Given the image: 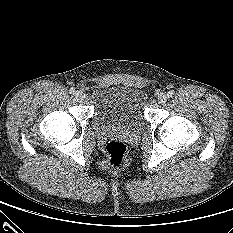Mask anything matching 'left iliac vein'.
Listing matches in <instances>:
<instances>
[{
  "label": "left iliac vein",
  "instance_id": "left-iliac-vein-1",
  "mask_svg": "<svg viewBox=\"0 0 233 233\" xmlns=\"http://www.w3.org/2000/svg\"><path fill=\"white\" fill-rule=\"evenodd\" d=\"M159 104H164L167 101V96L164 93H160L157 97Z\"/></svg>",
  "mask_w": 233,
  "mask_h": 233
}]
</instances>
